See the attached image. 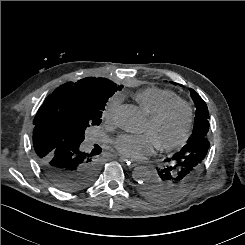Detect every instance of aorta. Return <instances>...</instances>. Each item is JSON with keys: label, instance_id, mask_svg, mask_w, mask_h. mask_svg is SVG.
Listing matches in <instances>:
<instances>
[{"label": "aorta", "instance_id": "762f6f07", "mask_svg": "<svg viewBox=\"0 0 245 245\" xmlns=\"http://www.w3.org/2000/svg\"><path fill=\"white\" fill-rule=\"evenodd\" d=\"M119 128L129 133H139L145 125V118L140 110L132 104L121 105L116 114ZM133 178L139 183H144L155 176V173L145 166L133 170Z\"/></svg>", "mask_w": 245, "mask_h": 245}]
</instances>
